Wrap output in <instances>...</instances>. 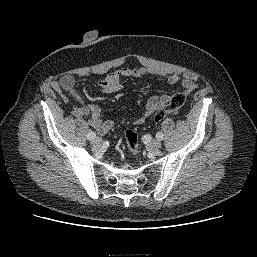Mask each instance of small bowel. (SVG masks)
Returning <instances> with one entry per match:
<instances>
[{"instance_id":"c3829d8e","label":"small bowel","mask_w":257,"mask_h":257,"mask_svg":"<svg viewBox=\"0 0 257 257\" xmlns=\"http://www.w3.org/2000/svg\"><path fill=\"white\" fill-rule=\"evenodd\" d=\"M145 75H157L166 78L170 84L180 83L186 94L191 93L197 87L196 76L193 73H185L182 76L176 73H168L163 70H158L148 67H125L117 69L99 81V86L102 91L107 94L116 93L122 89L121 80L125 77L140 78ZM75 79L71 75H65L52 84V87L57 92H66L73 97L79 106L74 110L77 117H89V124L97 132L104 134L112 129L114 122L110 119L103 118L101 108L96 104H84L81 97L74 89ZM170 96L166 94L151 96L145 106L143 115L137 120L141 124L145 119L156 112L162 105L168 102Z\"/></svg>"}]
</instances>
